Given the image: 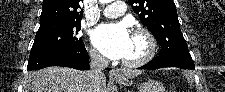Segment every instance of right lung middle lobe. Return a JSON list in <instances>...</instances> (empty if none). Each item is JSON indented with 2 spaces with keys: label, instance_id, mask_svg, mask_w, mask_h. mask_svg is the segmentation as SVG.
I'll return each instance as SVG.
<instances>
[{
  "label": "right lung middle lobe",
  "instance_id": "obj_1",
  "mask_svg": "<svg viewBox=\"0 0 225 92\" xmlns=\"http://www.w3.org/2000/svg\"><path fill=\"white\" fill-rule=\"evenodd\" d=\"M80 29L79 22H47L40 24L31 53L82 45V38L78 36Z\"/></svg>",
  "mask_w": 225,
  "mask_h": 92
}]
</instances>
